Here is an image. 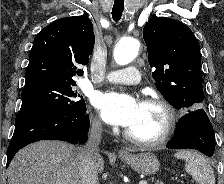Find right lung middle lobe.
I'll use <instances>...</instances> for the list:
<instances>
[{
    "label": "right lung middle lobe",
    "instance_id": "1",
    "mask_svg": "<svg viewBox=\"0 0 224 184\" xmlns=\"http://www.w3.org/2000/svg\"><path fill=\"white\" fill-rule=\"evenodd\" d=\"M76 83L34 81L25 84L22 90V105L15 125L45 113H60L68 116L86 111L83 97L75 90Z\"/></svg>",
    "mask_w": 224,
    "mask_h": 184
}]
</instances>
